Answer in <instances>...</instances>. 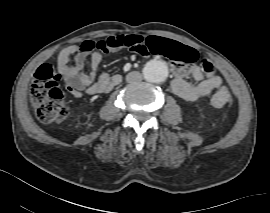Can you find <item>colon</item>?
<instances>
[{
    "label": "colon",
    "mask_w": 270,
    "mask_h": 213,
    "mask_svg": "<svg viewBox=\"0 0 270 213\" xmlns=\"http://www.w3.org/2000/svg\"><path fill=\"white\" fill-rule=\"evenodd\" d=\"M128 45L131 50H136V42L145 47L143 40L135 35L127 36ZM156 46L161 52L171 49L159 42L157 38H151L147 42ZM202 68L205 73H210L212 66L210 61L204 60ZM60 76L57 75L51 65L41 64L34 75V81L31 86V99L36 108V114L39 120L45 123H57L63 121L69 115V105L65 102L63 91L59 86ZM232 94L228 86L222 85L218 88L211 98V104L216 107H223L230 104Z\"/></svg>",
    "instance_id": "1"
}]
</instances>
